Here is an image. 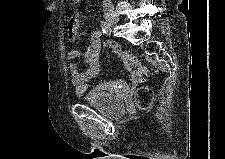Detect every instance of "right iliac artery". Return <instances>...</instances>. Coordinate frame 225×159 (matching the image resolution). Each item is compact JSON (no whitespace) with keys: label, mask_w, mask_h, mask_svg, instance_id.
I'll list each match as a JSON object with an SVG mask.
<instances>
[{"label":"right iliac artery","mask_w":225,"mask_h":159,"mask_svg":"<svg viewBox=\"0 0 225 159\" xmlns=\"http://www.w3.org/2000/svg\"><path fill=\"white\" fill-rule=\"evenodd\" d=\"M100 26H101L102 32L104 34H107L109 36L111 35L112 29L108 23H106L105 21L102 20V21H100Z\"/></svg>","instance_id":"1"}]
</instances>
